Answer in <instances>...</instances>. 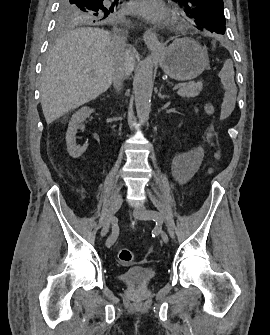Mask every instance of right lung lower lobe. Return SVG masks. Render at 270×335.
Returning a JSON list of instances; mask_svg holds the SVG:
<instances>
[{
	"label": "right lung lower lobe",
	"instance_id": "obj_1",
	"mask_svg": "<svg viewBox=\"0 0 270 335\" xmlns=\"http://www.w3.org/2000/svg\"><path fill=\"white\" fill-rule=\"evenodd\" d=\"M119 1H121L122 2V0H119ZM123 3V2H122ZM116 6V5H115ZM121 6V5H120ZM120 6H118V9L120 8ZM107 7V6H106Z\"/></svg>",
	"mask_w": 270,
	"mask_h": 335
}]
</instances>
